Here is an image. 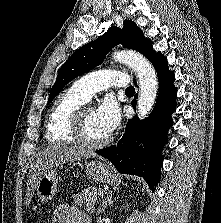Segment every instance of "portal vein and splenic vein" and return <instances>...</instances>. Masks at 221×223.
Wrapping results in <instances>:
<instances>
[{"mask_svg": "<svg viewBox=\"0 0 221 223\" xmlns=\"http://www.w3.org/2000/svg\"><path fill=\"white\" fill-rule=\"evenodd\" d=\"M105 192H101V194L103 195Z\"/></svg>", "mask_w": 221, "mask_h": 223, "instance_id": "obj_1", "label": "portal vein and splenic vein"}]
</instances>
